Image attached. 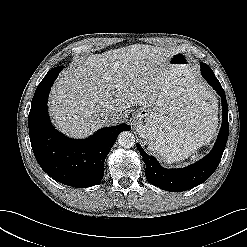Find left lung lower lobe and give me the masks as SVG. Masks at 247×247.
Instances as JSON below:
<instances>
[{
    "instance_id": "1",
    "label": "left lung lower lobe",
    "mask_w": 247,
    "mask_h": 247,
    "mask_svg": "<svg viewBox=\"0 0 247 247\" xmlns=\"http://www.w3.org/2000/svg\"><path fill=\"white\" fill-rule=\"evenodd\" d=\"M201 73L207 82L221 96L222 100V126L212 151L202 160L188 167L180 169H165L159 165L158 161L153 156L145 153L141 146L137 144V148L146 164L145 175L147 180L151 184L163 190L171 192H182L196 187L206 181L217 168L226 146L229 132V123L228 106L225 92L220 82L215 77L212 69L207 64L201 63Z\"/></svg>"
}]
</instances>
